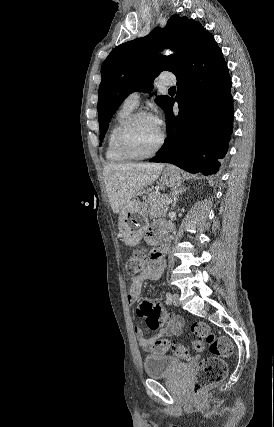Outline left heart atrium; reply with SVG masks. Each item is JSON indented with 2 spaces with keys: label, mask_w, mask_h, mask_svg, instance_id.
Returning <instances> with one entry per match:
<instances>
[{
  "label": "left heart atrium",
  "mask_w": 274,
  "mask_h": 427,
  "mask_svg": "<svg viewBox=\"0 0 274 427\" xmlns=\"http://www.w3.org/2000/svg\"><path fill=\"white\" fill-rule=\"evenodd\" d=\"M152 119L154 121V123L156 124V126L160 129H162V121L158 116H152Z\"/></svg>",
  "instance_id": "1"
}]
</instances>
